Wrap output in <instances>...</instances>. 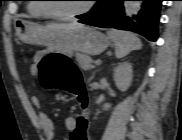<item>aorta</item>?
<instances>
[{
	"mask_svg": "<svg viewBox=\"0 0 182 140\" xmlns=\"http://www.w3.org/2000/svg\"><path fill=\"white\" fill-rule=\"evenodd\" d=\"M141 3V1H126L125 14L127 16H132L133 14H136L141 7Z\"/></svg>",
	"mask_w": 182,
	"mask_h": 140,
	"instance_id": "obj_1",
	"label": "aorta"
}]
</instances>
